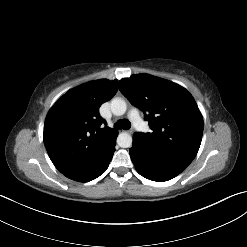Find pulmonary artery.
Returning <instances> with one entry per match:
<instances>
[{"mask_svg":"<svg viewBox=\"0 0 247 247\" xmlns=\"http://www.w3.org/2000/svg\"><path fill=\"white\" fill-rule=\"evenodd\" d=\"M129 118L132 121L133 125L135 126L136 129L141 130V131H145L146 130V125L145 123L142 121L139 113L137 110H132L129 113Z\"/></svg>","mask_w":247,"mask_h":247,"instance_id":"obj_1","label":"pulmonary artery"}]
</instances>
